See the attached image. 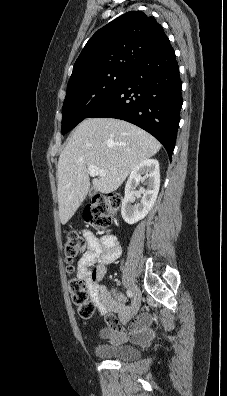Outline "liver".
<instances>
[{
    "mask_svg": "<svg viewBox=\"0 0 227 396\" xmlns=\"http://www.w3.org/2000/svg\"><path fill=\"white\" fill-rule=\"evenodd\" d=\"M160 142L141 128L114 118H87L71 133L57 166L60 221L65 225L85 199L94 165L106 176L93 180L96 191L117 190L140 162L154 156Z\"/></svg>",
    "mask_w": 227,
    "mask_h": 396,
    "instance_id": "obj_1",
    "label": "liver"
}]
</instances>
